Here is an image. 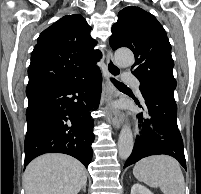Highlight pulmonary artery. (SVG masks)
Returning <instances> with one entry per match:
<instances>
[{"label":"pulmonary artery","instance_id":"pulmonary-artery-1","mask_svg":"<svg viewBox=\"0 0 201 194\" xmlns=\"http://www.w3.org/2000/svg\"><path fill=\"white\" fill-rule=\"evenodd\" d=\"M121 78L123 82L131 84L135 88V90L139 92L140 82L133 74H131L130 72H125L122 74Z\"/></svg>","mask_w":201,"mask_h":194}]
</instances>
